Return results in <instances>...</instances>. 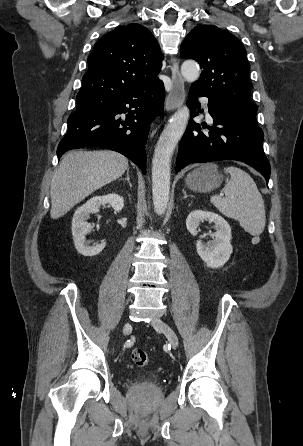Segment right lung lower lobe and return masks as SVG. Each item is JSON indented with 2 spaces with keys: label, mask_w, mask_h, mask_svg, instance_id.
<instances>
[{
  "label": "right lung lower lobe",
  "mask_w": 303,
  "mask_h": 446,
  "mask_svg": "<svg viewBox=\"0 0 303 446\" xmlns=\"http://www.w3.org/2000/svg\"><path fill=\"white\" fill-rule=\"evenodd\" d=\"M163 104L164 85L160 81L76 108L68 118V133L58 145V160L71 149L101 147L123 154L145 173L149 127L161 114Z\"/></svg>",
  "instance_id": "right-lung-lower-lobe-1"
}]
</instances>
